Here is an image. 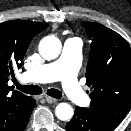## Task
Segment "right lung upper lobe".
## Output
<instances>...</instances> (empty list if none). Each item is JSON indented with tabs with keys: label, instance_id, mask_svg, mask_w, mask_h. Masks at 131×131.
<instances>
[{
	"label": "right lung upper lobe",
	"instance_id": "obj_1",
	"mask_svg": "<svg viewBox=\"0 0 131 131\" xmlns=\"http://www.w3.org/2000/svg\"><path fill=\"white\" fill-rule=\"evenodd\" d=\"M47 24L26 20L0 23V131H16L33 98L8 86L14 67L20 61L33 39L47 28Z\"/></svg>",
	"mask_w": 131,
	"mask_h": 131
}]
</instances>
